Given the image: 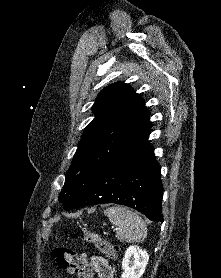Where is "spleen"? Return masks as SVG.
<instances>
[{
  "mask_svg": "<svg viewBox=\"0 0 221 278\" xmlns=\"http://www.w3.org/2000/svg\"><path fill=\"white\" fill-rule=\"evenodd\" d=\"M104 214L116 226V237L121 242H140L146 238L147 227L145 222L128 208L113 206L105 209Z\"/></svg>",
  "mask_w": 221,
  "mask_h": 278,
  "instance_id": "3e777b00",
  "label": "spleen"
}]
</instances>
